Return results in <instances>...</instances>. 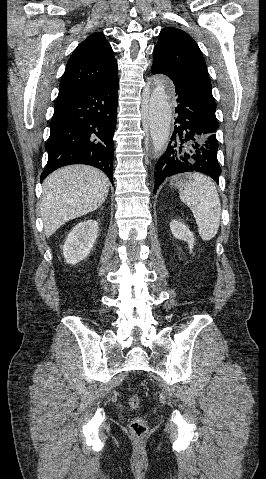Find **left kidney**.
Listing matches in <instances>:
<instances>
[{"label":"left kidney","instance_id":"5707ae66","mask_svg":"<svg viewBox=\"0 0 266 479\" xmlns=\"http://www.w3.org/2000/svg\"><path fill=\"white\" fill-rule=\"evenodd\" d=\"M170 229L176 239L187 242L190 252H192V249L195 244V239L193 233L189 230V228L182 222L173 220L170 223Z\"/></svg>","mask_w":266,"mask_h":479}]
</instances>
